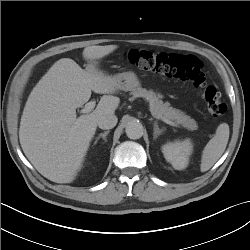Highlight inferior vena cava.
I'll return each instance as SVG.
<instances>
[{
	"label": "inferior vena cava",
	"instance_id": "inferior-vena-cava-1",
	"mask_svg": "<svg viewBox=\"0 0 250 250\" xmlns=\"http://www.w3.org/2000/svg\"><path fill=\"white\" fill-rule=\"evenodd\" d=\"M118 118L114 114L104 115L98 119L97 125L101 129H111L116 126Z\"/></svg>",
	"mask_w": 250,
	"mask_h": 250
}]
</instances>
